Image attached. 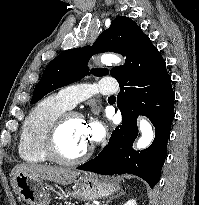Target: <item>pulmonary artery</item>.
<instances>
[{
	"mask_svg": "<svg viewBox=\"0 0 199 205\" xmlns=\"http://www.w3.org/2000/svg\"><path fill=\"white\" fill-rule=\"evenodd\" d=\"M117 90V86L106 85L105 82L81 83L67 86L60 90L59 96L69 107H74L77 103L88 99L94 94L101 93L109 95Z\"/></svg>",
	"mask_w": 199,
	"mask_h": 205,
	"instance_id": "1",
	"label": "pulmonary artery"
}]
</instances>
